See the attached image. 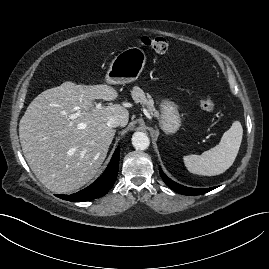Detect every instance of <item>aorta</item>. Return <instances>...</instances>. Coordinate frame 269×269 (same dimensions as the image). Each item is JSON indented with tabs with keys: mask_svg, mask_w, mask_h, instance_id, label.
Listing matches in <instances>:
<instances>
[{
	"mask_svg": "<svg viewBox=\"0 0 269 269\" xmlns=\"http://www.w3.org/2000/svg\"><path fill=\"white\" fill-rule=\"evenodd\" d=\"M150 141L144 132H135L132 136V145L137 150H145L149 147Z\"/></svg>",
	"mask_w": 269,
	"mask_h": 269,
	"instance_id": "obj_1",
	"label": "aorta"
}]
</instances>
